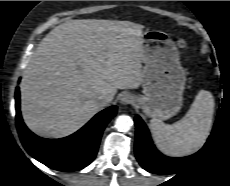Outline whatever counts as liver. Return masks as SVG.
I'll return each mask as SVG.
<instances>
[{"label": "liver", "instance_id": "1", "mask_svg": "<svg viewBox=\"0 0 230 186\" xmlns=\"http://www.w3.org/2000/svg\"><path fill=\"white\" fill-rule=\"evenodd\" d=\"M142 30L130 21L81 19L48 33L20 83L28 128L44 138L66 137L106 106L99 96L112 101L118 89H137L143 77Z\"/></svg>", "mask_w": 230, "mask_h": 186}]
</instances>
